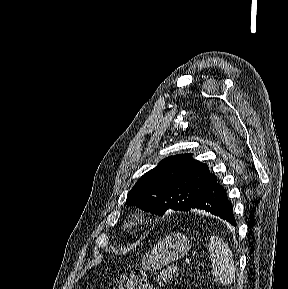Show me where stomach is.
Listing matches in <instances>:
<instances>
[{
	"label": "stomach",
	"instance_id": "1",
	"mask_svg": "<svg viewBox=\"0 0 288 289\" xmlns=\"http://www.w3.org/2000/svg\"><path fill=\"white\" fill-rule=\"evenodd\" d=\"M189 249L190 241L188 237L182 233H173L151 248L143 256L141 264L145 270H158L186 255Z\"/></svg>",
	"mask_w": 288,
	"mask_h": 289
}]
</instances>
